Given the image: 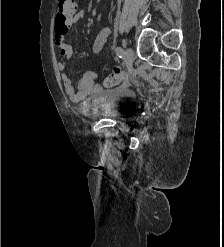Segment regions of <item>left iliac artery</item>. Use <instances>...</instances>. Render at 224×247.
Masks as SVG:
<instances>
[{
    "instance_id": "obj_1",
    "label": "left iliac artery",
    "mask_w": 224,
    "mask_h": 247,
    "mask_svg": "<svg viewBox=\"0 0 224 247\" xmlns=\"http://www.w3.org/2000/svg\"><path fill=\"white\" fill-rule=\"evenodd\" d=\"M115 51L118 57L122 58L124 56V51L121 47H116Z\"/></svg>"
}]
</instances>
